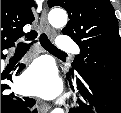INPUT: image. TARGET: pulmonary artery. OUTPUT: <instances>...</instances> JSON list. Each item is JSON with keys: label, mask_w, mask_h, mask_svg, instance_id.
Returning a JSON list of instances; mask_svg holds the SVG:
<instances>
[{"label": "pulmonary artery", "mask_w": 121, "mask_h": 113, "mask_svg": "<svg viewBox=\"0 0 121 113\" xmlns=\"http://www.w3.org/2000/svg\"><path fill=\"white\" fill-rule=\"evenodd\" d=\"M60 51H71L74 53H78V47L74 44V42L70 39V37L66 35H62L58 42V47Z\"/></svg>", "instance_id": "e3ab8cb5"}]
</instances>
